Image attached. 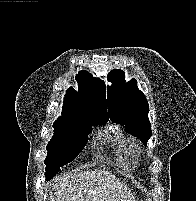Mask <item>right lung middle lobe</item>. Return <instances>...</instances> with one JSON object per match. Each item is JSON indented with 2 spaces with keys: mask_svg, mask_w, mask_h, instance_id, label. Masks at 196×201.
<instances>
[{
  "mask_svg": "<svg viewBox=\"0 0 196 201\" xmlns=\"http://www.w3.org/2000/svg\"><path fill=\"white\" fill-rule=\"evenodd\" d=\"M108 118L67 114L53 124L54 135L47 145L46 179L49 180L61 166L71 162L84 148L92 126L104 124Z\"/></svg>",
  "mask_w": 196,
  "mask_h": 201,
  "instance_id": "obj_1",
  "label": "right lung middle lobe"
}]
</instances>
